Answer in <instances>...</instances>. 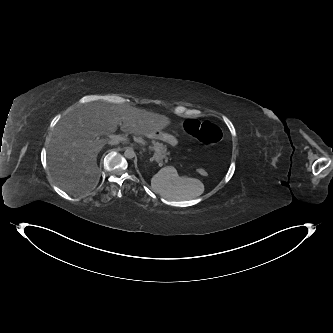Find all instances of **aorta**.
Listing matches in <instances>:
<instances>
[{
	"label": "aorta",
	"mask_w": 333,
	"mask_h": 333,
	"mask_svg": "<svg viewBox=\"0 0 333 333\" xmlns=\"http://www.w3.org/2000/svg\"><path fill=\"white\" fill-rule=\"evenodd\" d=\"M124 156L127 158V159H132L136 156L135 154V151L133 148L131 147H127L125 152H124Z\"/></svg>",
	"instance_id": "obj_1"
}]
</instances>
